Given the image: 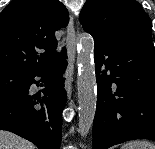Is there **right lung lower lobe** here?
I'll list each match as a JSON object with an SVG mask.
<instances>
[{
	"label": "right lung lower lobe",
	"instance_id": "obj_1",
	"mask_svg": "<svg viewBox=\"0 0 155 149\" xmlns=\"http://www.w3.org/2000/svg\"><path fill=\"white\" fill-rule=\"evenodd\" d=\"M65 54L47 69L29 75L22 92L0 93V129L29 140L39 149H59L61 113L67 100L62 76L67 66ZM36 76L45 83L42 98L29 93L31 84L38 85Z\"/></svg>",
	"mask_w": 155,
	"mask_h": 149
}]
</instances>
